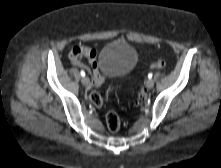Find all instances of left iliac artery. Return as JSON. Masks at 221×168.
Returning <instances> with one entry per match:
<instances>
[{"label": "left iliac artery", "instance_id": "1", "mask_svg": "<svg viewBox=\"0 0 221 168\" xmlns=\"http://www.w3.org/2000/svg\"><path fill=\"white\" fill-rule=\"evenodd\" d=\"M152 76H153V74H152V73H149V74H148V78H149V79H151V78H152Z\"/></svg>", "mask_w": 221, "mask_h": 168}]
</instances>
